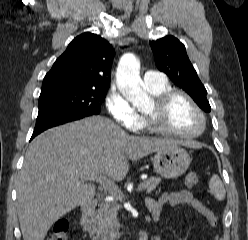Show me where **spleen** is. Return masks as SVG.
<instances>
[{"instance_id": "1", "label": "spleen", "mask_w": 248, "mask_h": 240, "mask_svg": "<svg viewBox=\"0 0 248 240\" xmlns=\"http://www.w3.org/2000/svg\"><path fill=\"white\" fill-rule=\"evenodd\" d=\"M209 188L211 193L217 200H223L225 198L226 192L224 185L218 175H213L209 181Z\"/></svg>"}]
</instances>
